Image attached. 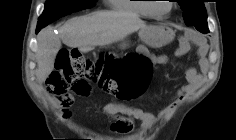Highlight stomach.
<instances>
[{"instance_id":"stomach-1","label":"stomach","mask_w":236,"mask_h":140,"mask_svg":"<svg viewBox=\"0 0 236 140\" xmlns=\"http://www.w3.org/2000/svg\"><path fill=\"white\" fill-rule=\"evenodd\" d=\"M140 35L148 45L162 47L174 39L175 33L170 27L159 24L147 27L140 32Z\"/></svg>"}]
</instances>
